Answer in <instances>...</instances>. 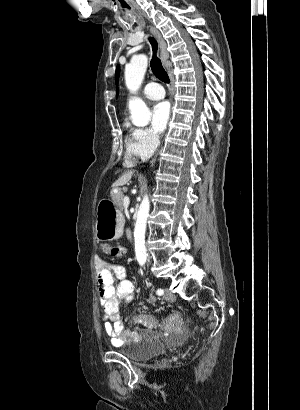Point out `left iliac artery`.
I'll return each instance as SVG.
<instances>
[{
    "label": "left iliac artery",
    "instance_id": "obj_1",
    "mask_svg": "<svg viewBox=\"0 0 300 410\" xmlns=\"http://www.w3.org/2000/svg\"><path fill=\"white\" fill-rule=\"evenodd\" d=\"M156 294L159 295V296H161V295L164 294V290L161 289V288H160V289H157Z\"/></svg>",
    "mask_w": 300,
    "mask_h": 410
}]
</instances>
